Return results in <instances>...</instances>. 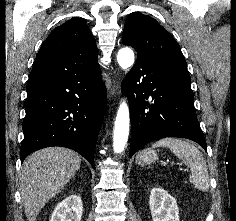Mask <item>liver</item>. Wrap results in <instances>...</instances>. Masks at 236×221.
<instances>
[{
  "instance_id": "obj_1",
  "label": "liver",
  "mask_w": 236,
  "mask_h": 221,
  "mask_svg": "<svg viewBox=\"0 0 236 221\" xmlns=\"http://www.w3.org/2000/svg\"><path fill=\"white\" fill-rule=\"evenodd\" d=\"M80 164V156L63 147L38 150L24 161L20 191L28 221H36L40 210L74 177Z\"/></svg>"
}]
</instances>
